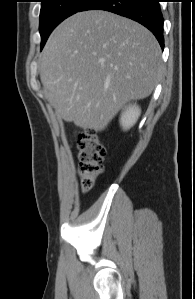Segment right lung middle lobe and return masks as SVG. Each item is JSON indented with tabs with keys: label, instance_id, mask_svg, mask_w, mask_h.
Segmentation results:
<instances>
[{
	"label": "right lung middle lobe",
	"instance_id": "1",
	"mask_svg": "<svg viewBox=\"0 0 195 299\" xmlns=\"http://www.w3.org/2000/svg\"><path fill=\"white\" fill-rule=\"evenodd\" d=\"M88 0H41L40 25L41 48L52 30L65 18L78 12Z\"/></svg>",
	"mask_w": 195,
	"mask_h": 299
}]
</instances>
